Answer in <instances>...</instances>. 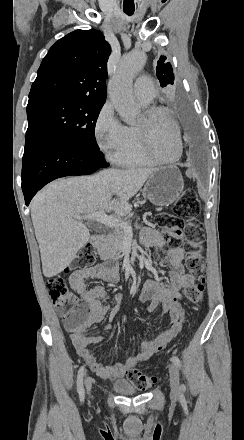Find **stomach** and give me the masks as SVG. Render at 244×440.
I'll list each match as a JSON object with an SVG mask.
<instances>
[{"label": "stomach", "mask_w": 244, "mask_h": 440, "mask_svg": "<svg viewBox=\"0 0 244 440\" xmlns=\"http://www.w3.org/2000/svg\"><path fill=\"white\" fill-rule=\"evenodd\" d=\"M184 180L177 166H163L150 174L142 190L144 198L155 206H169L180 198Z\"/></svg>", "instance_id": "0dacf381"}]
</instances>
